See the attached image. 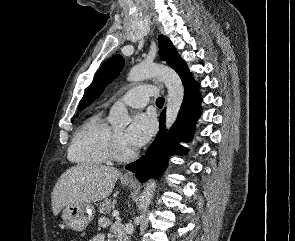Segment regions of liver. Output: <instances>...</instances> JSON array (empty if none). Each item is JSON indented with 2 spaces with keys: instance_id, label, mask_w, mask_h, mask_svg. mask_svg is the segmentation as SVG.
Listing matches in <instances>:
<instances>
[{
  "instance_id": "obj_1",
  "label": "liver",
  "mask_w": 295,
  "mask_h": 241,
  "mask_svg": "<svg viewBox=\"0 0 295 241\" xmlns=\"http://www.w3.org/2000/svg\"><path fill=\"white\" fill-rule=\"evenodd\" d=\"M120 172L99 164H78L58 179L51 197L53 214L71 204H90L106 199L113 191Z\"/></svg>"
}]
</instances>
